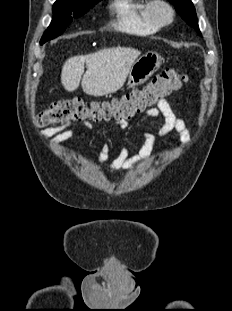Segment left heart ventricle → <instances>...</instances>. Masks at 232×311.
I'll return each mask as SVG.
<instances>
[{"instance_id":"b2bd125f","label":"left heart ventricle","mask_w":232,"mask_h":311,"mask_svg":"<svg viewBox=\"0 0 232 311\" xmlns=\"http://www.w3.org/2000/svg\"><path fill=\"white\" fill-rule=\"evenodd\" d=\"M157 16L162 20H166L168 18V12L164 8H159L157 10Z\"/></svg>"}]
</instances>
